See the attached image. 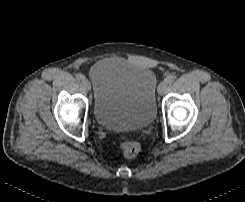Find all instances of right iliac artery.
I'll return each mask as SVG.
<instances>
[{
    "label": "right iliac artery",
    "instance_id": "1",
    "mask_svg": "<svg viewBox=\"0 0 245 202\" xmlns=\"http://www.w3.org/2000/svg\"><path fill=\"white\" fill-rule=\"evenodd\" d=\"M83 78H85V77L82 74H77L76 75V79L79 80V81L82 80Z\"/></svg>",
    "mask_w": 245,
    "mask_h": 202
}]
</instances>
